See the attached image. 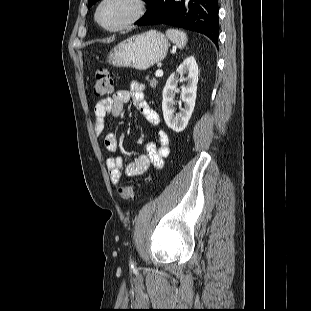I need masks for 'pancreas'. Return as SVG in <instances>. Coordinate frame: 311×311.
I'll list each match as a JSON object with an SVG mask.
<instances>
[{
  "label": "pancreas",
  "instance_id": "obj_1",
  "mask_svg": "<svg viewBox=\"0 0 311 311\" xmlns=\"http://www.w3.org/2000/svg\"><path fill=\"white\" fill-rule=\"evenodd\" d=\"M146 79L149 82V86H151L153 89H155L157 84H158V81L155 78L150 80L148 76L146 77Z\"/></svg>",
  "mask_w": 311,
  "mask_h": 311
}]
</instances>
